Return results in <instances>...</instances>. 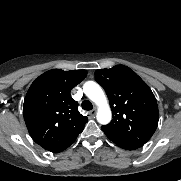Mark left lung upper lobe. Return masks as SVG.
Segmentation results:
<instances>
[{"label":"left lung upper lobe","instance_id":"left-lung-upper-lobe-1","mask_svg":"<svg viewBox=\"0 0 181 181\" xmlns=\"http://www.w3.org/2000/svg\"><path fill=\"white\" fill-rule=\"evenodd\" d=\"M95 80L105 89L113 113L101 127L120 147H142L158 125V105L149 86L129 67L116 65L95 71Z\"/></svg>","mask_w":181,"mask_h":181}]
</instances>
